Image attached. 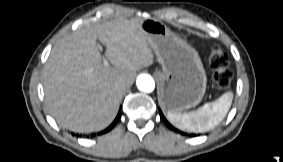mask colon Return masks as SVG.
<instances>
[{"instance_id":"colon-1","label":"colon","mask_w":283,"mask_h":162,"mask_svg":"<svg viewBox=\"0 0 283 162\" xmlns=\"http://www.w3.org/2000/svg\"><path fill=\"white\" fill-rule=\"evenodd\" d=\"M211 66L214 69V81L220 88L227 87L232 79V71L228 68V57L223 49L214 45L211 48Z\"/></svg>"}]
</instances>
